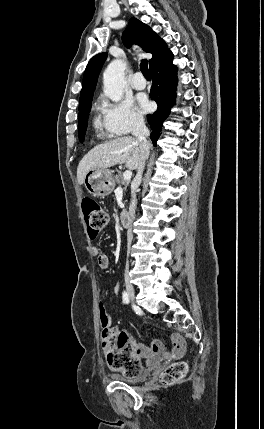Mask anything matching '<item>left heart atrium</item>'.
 I'll return each instance as SVG.
<instances>
[{
	"instance_id": "39dd6f15",
	"label": "left heart atrium",
	"mask_w": 264,
	"mask_h": 429,
	"mask_svg": "<svg viewBox=\"0 0 264 429\" xmlns=\"http://www.w3.org/2000/svg\"><path fill=\"white\" fill-rule=\"evenodd\" d=\"M138 105H139V109H140L142 112H147V111H149V110H150V103H149V101H148L145 97H143V96H141V97H139V98H138Z\"/></svg>"
}]
</instances>
